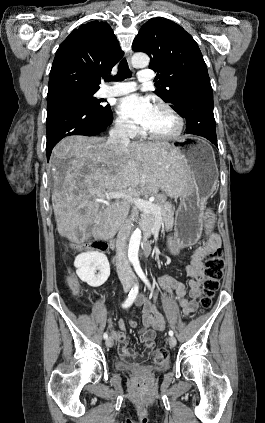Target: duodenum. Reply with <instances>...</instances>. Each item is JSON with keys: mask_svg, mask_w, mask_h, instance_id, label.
Returning a JSON list of instances; mask_svg holds the SVG:
<instances>
[{"mask_svg": "<svg viewBox=\"0 0 265 423\" xmlns=\"http://www.w3.org/2000/svg\"><path fill=\"white\" fill-rule=\"evenodd\" d=\"M111 247H112V249H114L115 248V244L112 243ZM151 253H152V246H151V244L149 242H146L144 244V247H143V252H142L143 257H148V256L151 255Z\"/></svg>", "mask_w": 265, "mask_h": 423, "instance_id": "obj_1", "label": "duodenum"}]
</instances>
